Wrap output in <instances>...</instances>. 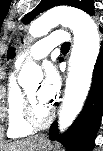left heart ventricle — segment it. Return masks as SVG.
Wrapping results in <instances>:
<instances>
[{
  "instance_id": "left-heart-ventricle-1",
  "label": "left heart ventricle",
  "mask_w": 103,
  "mask_h": 151,
  "mask_svg": "<svg viewBox=\"0 0 103 151\" xmlns=\"http://www.w3.org/2000/svg\"><path fill=\"white\" fill-rule=\"evenodd\" d=\"M39 88V84H32L26 88V91L32 101L35 116L38 119H44L47 116L50 107L40 102L38 98Z\"/></svg>"
}]
</instances>
